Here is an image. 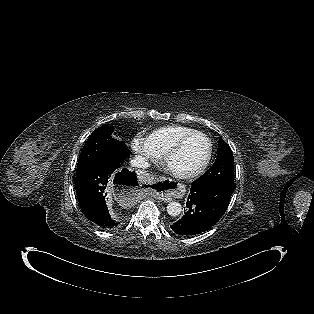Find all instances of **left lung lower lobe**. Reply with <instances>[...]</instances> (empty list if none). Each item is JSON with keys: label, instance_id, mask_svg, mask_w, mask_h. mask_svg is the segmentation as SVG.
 Instances as JSON below:
<instances>
[{"label": "left lung lower lobe", "instance_id": "left-lung-lower-lobe-1", "mask_svg": "<svg viewBox=\"0 0 314 314\" xmlns=\"http://www.w3.org/2000/svg\"><path fill=\"white\" fill-rule=\"evenodd\" d=\"M234 188V182H192L187 212L171 229L185 236L209 230L225 213Z\"/></svg>", "mask_w": 314, "mask_h": 314}]
</instances>
